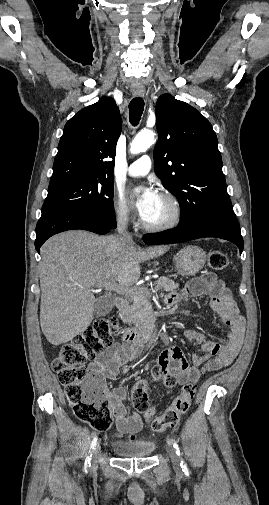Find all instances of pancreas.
<instances>
[{"instance_id":"obj_1","label":"pancreas","mask_w":269,"mask_h":505,"mask_svg":"<svg viewBox=\"0 0 269 505\" xmlns=\"http://www.w3.org/2000/svg\"><path fill=\"white\" fill-rule=\"evenodd\" d=\"M156 290L166 292L173 291L179 287L178 283L166 277H161L156 281ZM150 291L145 287H138L136 291L129 294L130 305L125 307L121 313L120 318L123 323L142 325L146 321V317L150 311Z\"/></svg>"}]
</instances>
